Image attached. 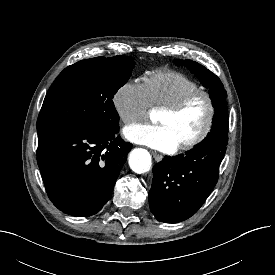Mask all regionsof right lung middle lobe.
Instances as JSON below:
<instances>
[{
	"mask_svg": "<svg viewBox=\"0 0 275 275\" xmlns=\"http://www.w3.org/2000/svg\"><path fill=\"white\" fill-rule=\"evenodd\" d=\"M132 57H96L65 68L49 88L37 120L38 138L70 129L119 128L112 101L130 78Z\"/></svg>",
	"mask_w": 275,
	"mask_h": 275,
	"instance_id": "dd1d6c3e",
	"label": "right lung middle lobe"
}]
</instances>
